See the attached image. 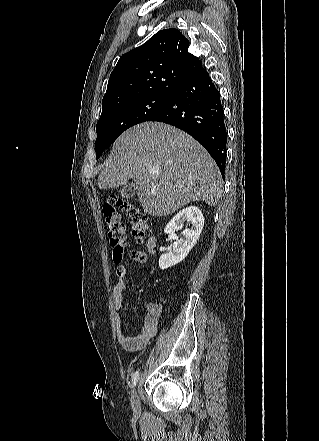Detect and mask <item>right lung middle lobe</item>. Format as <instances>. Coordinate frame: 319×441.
Instances as JSON below:
<instances>
[{
  "mask_svg": "<svg viewBox=\"0 0 319 441\" xmlns=\"http://www.w3.org/2000/svg\"><path fill=\"white\" fill-rule=\"evenodd\" d=\"M170 98L161 96L142 97L110 106L102 111L96 126V159L117 137L128 128L148 121L160 112Z\"/></svg>",
  "mask_w": 319,
  "mask_h": 441,
  "instance_id": "obj_1",
  "label": "right lung middle lobe"
}]
</instances>
